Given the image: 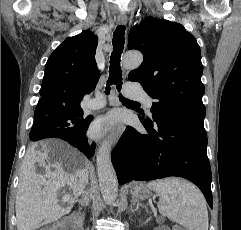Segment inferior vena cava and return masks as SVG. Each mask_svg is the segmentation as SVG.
<instances>
[{
  "mask_svg": "<svg viewBox=\"0 0 241 230\" xmlns=\"http://www.w3.org/2000/svg\"><path fill=\"white\" fill-rule=\"evenodd\" d=\"M83 203H85L86 205L88 204L89 202V198H88V193L84 192V196H83Z\"/></svg>",
  "mask_w": 241,
  "mask_h": 230,
  "instance_id": "inferior-vena-cava-1",
  "label": "inferior vena cava"
}]
</instances>
